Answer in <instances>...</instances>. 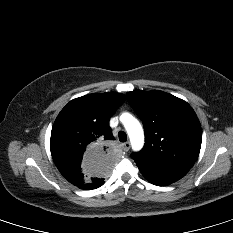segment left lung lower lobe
<instances>
[{"mask_svg":"<svg viewBox=\"0 0 233 233\" xmlns=\"http://www.w3.org/2000/svg\"><path fill=\"white\" fill-rule=\"evenodd\" d=\"M135 160V159H134ZM142 175L152 184L166 186L181 179L189 170L186 167L156 166L135 160Z\"/></svg>","mask_w":233,"mask_h":233,"instance_id":"1","label":"left lung lower lobe"}]
</instances>
